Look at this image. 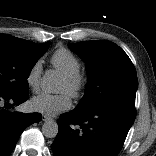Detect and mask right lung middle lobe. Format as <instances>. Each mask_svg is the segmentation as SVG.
I'll return each instance as SVG.
<instances>
[{
    "instance_id": "obj_1",
    "label": "right lung middle lobe",
    "mask_w": 156,
    "mask_h": 156,
    "mask_svg": "<svg viewBox=\"0 0 156 156\" xmlns=\"http://www.w3.org/2000/svg\"><path fill=\"white\" fill-rule=\"evenodd\" d=\"M49 42L36 44L0 34V91L12 95L29 93L27 78Z\"/></svg>"
}]
</instances>
